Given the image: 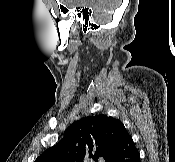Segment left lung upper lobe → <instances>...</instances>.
<instances>
[{"label":"left lung upper lobe","mask_w":175,"mask_h":162,"mask_svg":"<svg viewBox=\"0 0 175 162\" xmlns=\"http://www.w3.org/2000/svg\"><path fill=\"white\" fill-rule=\"evenodd\" d=\"M126 132L124 125L110 116H88L70 125L63 139L35 162H83L85 157L109 162Z\"/></svg>","instance_id":"1"}]
</instances>
